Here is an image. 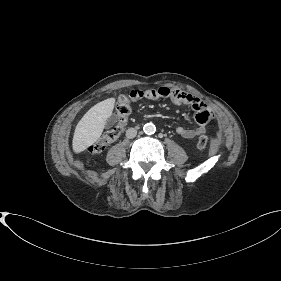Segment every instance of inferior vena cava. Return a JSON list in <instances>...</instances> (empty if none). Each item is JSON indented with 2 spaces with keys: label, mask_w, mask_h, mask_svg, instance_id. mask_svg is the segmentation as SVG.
Here are the masks:
<instances>
[{
  "label": "inferior vena cava",
  "mask_w": 281,
  "mask_h": 281,
  "mask_svg": "<svg viewBox=\"0 0 281 281\" xmlns=\"http://www.w3.org/2000/svg\"><path fill=\"white\" fill-rule=\"evenodd\" d=\"M137 135V130L135 128H129L126 131V137L129 139L134 138Z\"/></svg>",
  "instance_id": "1"
}]
</instances>
